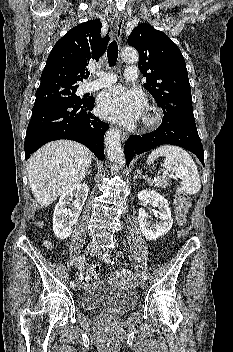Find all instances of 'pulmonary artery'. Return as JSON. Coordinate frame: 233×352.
Segmentation results:
<instances>
[{
  "label": "pulmonary artery",
  "mask_w": 233,
  "mask_h": 352,
  "mask_svg": "<svg viewBox=\"0 0 233 352\" xmlns=\"http://www.w3.org/2000/svg\"><path fill=\"white\" fill-rule=\"evenodd\" d=\"M97 75L99 76L98 79L94 81H90L85 83L82 88L84 91H93L97 90L99 88L111 85L112 83L115 82L116 76L111 73H106V72H98ZM138 76V69L135 66H129L125 70V78L128 80H136Z\"/></svg>",
  "instance_id": "1"
}]
</instances>
